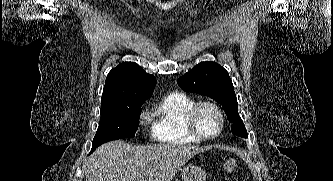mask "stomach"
<instances>
[{
	"mask_svg": "<svg viewBox=\"0 0 333 181\" xmlns=\"http://www.w3.org/2000/svg\"><path fill=\"white\" fill-rule=\"evenodd\" d=\"M182 181H206V171L199 165L189 164L181 170Z\"/></svg>",
	"mask_w": 333,
	"mask_h": 181,
	"instance_id": "0dacf381",
	"label": "stomach"
}]
</instances>
